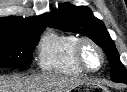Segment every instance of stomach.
Wrapping results in <instances>:
<instances>
[{
    "mask_svg": "<svg viewBox=\"0 0 127 92\" xmlns=\"http://www.w3.org/2000/svg\"><path fill=\"white\" fill-rule=\"evenodd\" d=\"M82 87V85L81 86H78V89H80Z\"/></svg>",
    "mask_w": 127,
    "mask_h": 92,
    "instance_id": "obj_1",
    "label": "stomach"
}]
</instances>
